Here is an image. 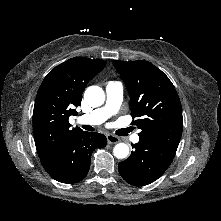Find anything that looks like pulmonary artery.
I'll return each instance as SVG.
<instances>
[{
    "label": "pulmonary artery",
    "instance_id": "obj_1",
    "mask_svg": "<svg viewBox=\"0 0 221 221\" xmlns=\"http://www.w3.org/2000/svg\"><path fill=\"white\" fill-rule=\"evenodd\" d=\"M122 99L123 85L120 82H109L106 86L105 105L93 110L89 114L81 116L79 122L89 125H99L103 123L119 111ZM132 141L137 143L139 141V136L134 135Z\"/></svg>",
    "mask_w": 221,
    "mask_h": 221
}]
</instances>
